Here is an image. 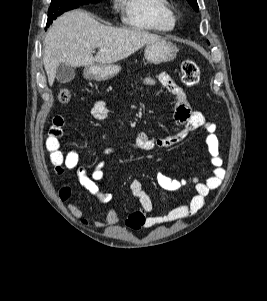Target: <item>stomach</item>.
Wrapping results in <instances>:
<instances>
[{
  "label": "stomach",
  "instance_id": "obj_1",
  "mask_svg": "<svg viewBox=\"0 0 267 301\" xmlns=\"http://www.w3.org/2000/svg\"><path fill=\"white\" fill-rule=\"evenodd\" d=\"M177 52L178 49L174 43L161 38L146 45L144 56L149 63L159 64L174 60ZM120 70L121 67L115 64H95L86 69V76L96 81H105L116 76Z\"/></svg>",
  "mask_w": 267,
  "mask_h": 301
}]
</instances>
